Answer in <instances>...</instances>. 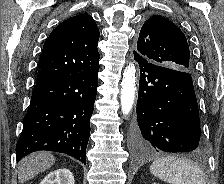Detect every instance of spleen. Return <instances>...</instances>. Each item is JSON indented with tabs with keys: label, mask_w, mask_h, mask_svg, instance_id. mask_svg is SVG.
Returning a JSON list of instances; mask_svg holds the SVG:
<instances>
[{
	"label": "spleen",
	"mask_w": 224,
	"mask_h": 184,
	"mask_svg": "<svg viewBox=\"0 0 224 184\" xmlns=\"http://www.w3.org/2000/svg\"><path fill=\"white\" fill-rule=\"evenodd\" d=\"M150 172L170 184H206L203 170L185 159L163 157L156 159Z\"/></svg>",
	"instance_id": "spleen-1"
}]
</instances>
